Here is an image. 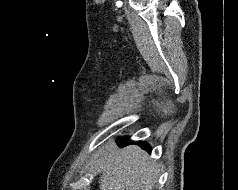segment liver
Segmentation results:
<instances>
[{
	"label": "liver",
	"instance_id": "6515ba94",
	"mask_svg": "<svg viewBox=\"0 0 238 190\" xmlns=\"http://www.w3.org/2000/svg\"><path fill=\"white\" fill-rule=\"evenodd\" d=\"M100 164L101 190H153L158 178L148 154L136 145L117 152L115 143L110 141Z\"/></svg>",
	"mask_w": 238,
	"mask_h": 190
}]
</instances>
